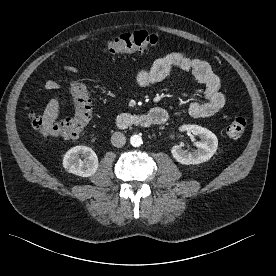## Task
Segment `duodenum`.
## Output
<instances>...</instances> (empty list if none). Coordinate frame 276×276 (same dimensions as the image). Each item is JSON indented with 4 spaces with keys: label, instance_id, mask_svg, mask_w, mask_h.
<instances>
[{
    "label": "duodenum",
    "instance_id": "duodenum-1",
    "mask_svg": "<svg viewBox=\"0 0 276 276\" xmlns=\"http://www.w3.org/2000/svg\"><path fill=\"white\" fill-rule=\"evenodd\" d=\"M167 114L164 110H156L153 114L123 113L116 118V125L121 129L130 127L148 128L165 123Z\"/></svg>",
    "mask_w": 276,
    "mask_h": 276
}]
</instances>
